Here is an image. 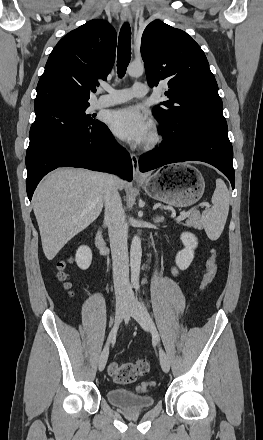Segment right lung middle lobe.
Here are the masks:
<instances>
[{
	"label": "right lung middle lobe",
	"instance_id": "obj_1",
	"mask_svg": "<svg viewBox=\"0 0 263 440\" xmlns=\"http://www.w3.org/2000/svg\"><path fill=\"white\" fill-rule=\"evenodd\" d=\"M89 103H56L44 108H34L36 118L30 129L27 152L47 142L70 133L97 130L104 123L93 120L87 113Z\"/></svg>",
	"mask_w": 263,
	"mask_h": 440
}]
</instances>
